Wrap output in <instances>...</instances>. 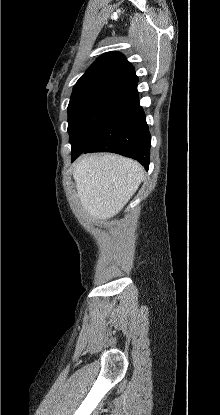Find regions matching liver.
I'll return each instance as SVG.
<instances>
[{
	"label": "liver",
	"mask_w": 220,
	"mask_h": 415,
	"mask_svg": "<svg viewBox=\"0 0 220 415\" xmlns=\"http://www.w3.org/2000/svg\"><path fill=\"white\" fill-rule=\"evenodd\" d=\"M143 177L138 162L114 154L85 155L73 172L82 207L91 218L102 221L123 209Z\"/></svg>",
	"instance_id": "obj_1"
}]
</instances>
